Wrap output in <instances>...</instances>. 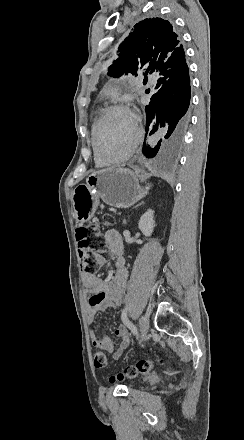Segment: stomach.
<instances>
[{
    "label": "stomach",
    "instance_id": "obj_1",
    "mask_svg": "<svg viewBox=\"0 0 244 440\" xmlns=\"http://www.w3.org/2000/svg\"><path fill=\"white\" fill-rule=\"evenodd\" d=\"M139 178H142L141 170L137 168H110L100 174H90L86 184H79L73 190V216L77 224H85L94 218L100 200L114 208H129L136 204L150 190V186H140Z\"/></svg>",
    "mask_w": 244,
    "mask_h": 440
}]
</instances>
